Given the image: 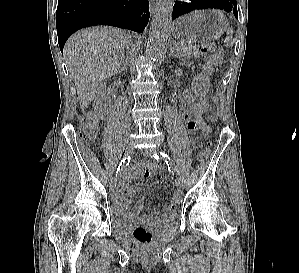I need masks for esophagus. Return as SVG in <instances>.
Instances as JSON below:
<instances>
[{"label": "esophagus", "instance_id": "1", "mask_svg": "<svg viewBox=\"0 0 299 273\" xmlns=\"http://www.w3.org/2000/svg\"><path fill=\"white\" fill-rule=\"evenodd\" d=\"M158 4V0H149L150 11L153 12L156 5Z\"/></svg>", "mask_w": 299, "mask_h": 273}]
</instances>
